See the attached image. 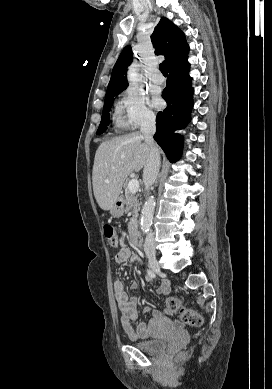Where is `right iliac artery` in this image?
Returning <instances> with one entry per match:
<instances>
[{"mask_svg":"<svg viewBox=\"0 0 272 389\" xmlns=\"http://www.w3.org/2000/svg\"><path fill=\"white\" fill-rule=\"evenodd\" d=\"M154 277H155L154 272H152L151 270H147V277H146V279L149 281V280H152Z\"/></svg>","mask_w":272,"mask_h":389,"instance_id":"1","label":"right iliac artery"}]
</instances>
